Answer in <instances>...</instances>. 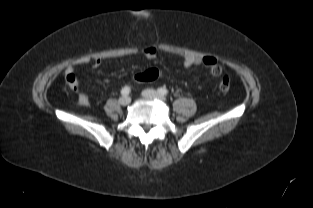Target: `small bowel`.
Here are the masks:
<instances>
[{"mask_svg":"<svg viewBox=\"0 0 313 208\" xmlns=\"http://www.w3.org/2000/svg\"><path fill=\"white\" fill-rule=\"evenodd\" d=\"M143 55L147 59H154L157 55V50L156 48L152 46L145 47L143 49ZM85 64H90L92 67L96 68L99 67L102 64V59L101 58H91L89 56H83L75 60L72 64H70L67 67V76L66 79L69 76H75L74 74V69L76 66L79 65H85ZM197 64H203L207 67H211L212 65L218 64L217 60L213 56H204V57H195V56H185L183 58V65L185 67H191L193 65ZM73 90H77V85L74 88H71ZM77 101L78 104L83 106V107H88L90 105V100L88 96L82 92H80L77 96Z\"/></svg>","mask_w":313,"mask_h":208,"instance_id":"c3829d8e","label":"small bowel"}]
</instances>
